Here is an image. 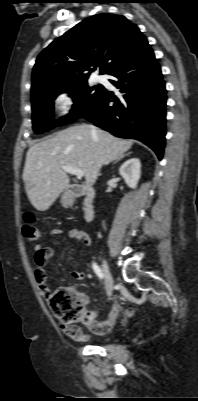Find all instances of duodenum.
<instances>
[{"mask_svg": "<svg viewBox=\"0 0 198 401\" xmlns=\"http://www.w3.org/2000/svg\"><path fill=\"white\" fill-rule=\"evenodd\" d=\"M83 196V216L86 222H91L95 218V190L92 187L84 185L72 186L69 192L68 200L72 202L77 197Z\"/></svg>", "mask_w": 198, "mask_h": 401, "instance_id": "duodenum-1", "label": "duodenum"}]
</instances>
